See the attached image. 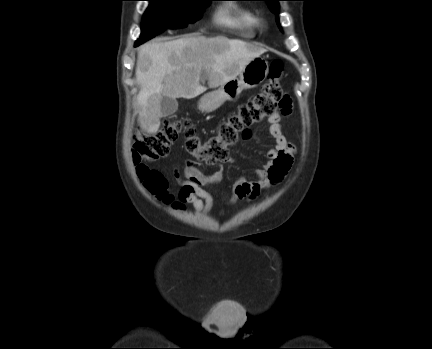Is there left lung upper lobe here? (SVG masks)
Here are the masks:
<instances>
[{"label":"left lung upper lobe","instance_id":"obj_1","mask_svg":"<svg viewBox=\"0 0 432 349\" xmlns=\"http://www.w3.org/2000/svg\"><path fill=\"white\" fill-rule=\"evenodd\" d=\"M259 1H266L268 7L270 8V10H271L273 13H275V14H278V13H279V5H278V1H281V0H259ZM277 24H278V26L280 27L278 21H277Z\"/></svg>","mask_w":432,"mask_h":349}]
</instances>
